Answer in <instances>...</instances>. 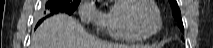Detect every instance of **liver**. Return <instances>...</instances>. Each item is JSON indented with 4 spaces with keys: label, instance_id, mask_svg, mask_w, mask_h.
<instances>
[{
    "label": "liver",
    "instance_id": "obj_1",
    "mask_svg": "<svg viewBox=\"0 0 213 48\" xmlns=\"http://www.w3.org/2000/svg\"><path fill=\"white\" fill-rule=\"evenodd\" d=\"M31 48H139L107 43L89 35L81 24L66 14L54 15L43 21L32 34Z\"/></svg>",
    "mask_w": 213,
    "mask_h": 48
}]
</instances>
